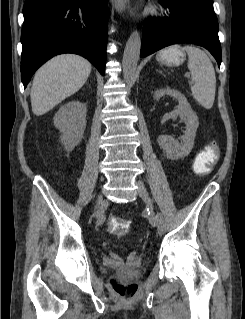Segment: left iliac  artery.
I'll use <instances>...</instances> for the list:
<instances>
[{"mask_svg": "<svg viewBox=\"0 0 245 319\" xmlns=\"http://www.w3.org/2000/svg\"><path fill=\"white\" fill-rule=\"evenodd\" d=\"M157 227L159 232H164V219L160 213L157 214Z\"/></svg>", "mask_w": 245, "mask_h": 319, "instance_id": "left-iliac-artery-1", "label": "left iliac artery"}]
</instances>
